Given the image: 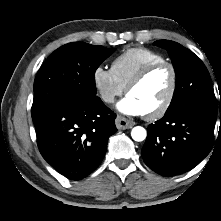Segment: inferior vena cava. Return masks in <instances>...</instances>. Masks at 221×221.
Listing matches in <instances>:
<instances>
[{"label":"inferior vena cava","mask_w":221,"mask_h":221,"mask_svg":"<svg viewBox=\"0 0 221 221\" xmlns=\"http://www.w3.org/2000/svg\"><path fill=\"white\" fill-rule=\"evenodd\" d=\"M103 100L105 101V102H108V103H113L114 102V96L113 95H105L104 97H103Z\"/></svg>","instance_id":"1"}]
</instances>
